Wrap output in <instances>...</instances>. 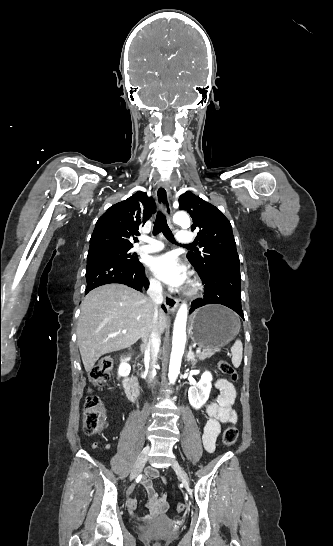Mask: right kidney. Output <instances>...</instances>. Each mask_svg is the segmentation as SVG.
Here are the masks:
<instances>
[{
	"mask_svg": "<svg viewBox=\"0 0 333 546\" xmlns=\"http://www.w3.org/2000/svg\"><path fill=\"white\" fill-rule=\"evenodd\" d=\"M131 371V367L127 362H122L119 366L118 374L121 377L126 378Z\"/></svg>",
	"mask_w": 333,
	"mask_h": 546,
	"instance_id": "right-kidney-1",
	"label": "right kidney"
}]
</instances>
